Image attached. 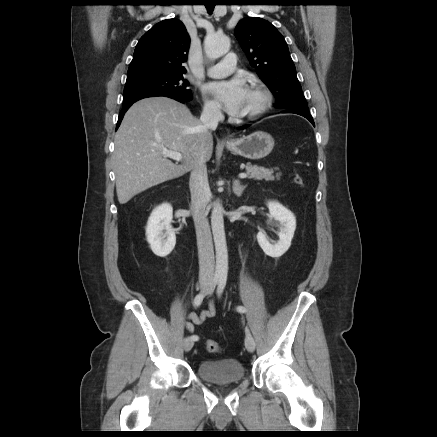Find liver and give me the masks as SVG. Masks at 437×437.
<instances>
[{
	"label": "liver",
	"mask_w": 437,
	"mask_h": 437,
	"mask_svg": "<svg viewBox=\"0 0 437 437\" xmlns=\"http://www.w3.org/2000/svg\"><path fill=\"white\" fill-rule=\"evenodd\" d=\"M112 155L120 204L163 182L179 178L200 162L210 160L212 134L189 109L167 97H150L134 103L115 134ZM162 148L180 152L174 164Z\"/></svg>",
	"instance_id": "liver-1"
}]
</instances>
